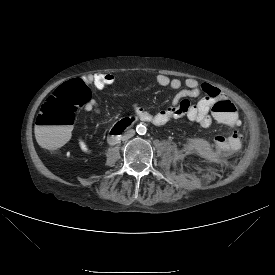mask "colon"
Wrapping results in <instances>:
<instances>
[{
	"label": "colon",
	"instance_id": "obj_1",
	"mask_svg": "<svg viewBox=\"0 0 275 275\" xmlns=\"http://www.w3.org/2000/svg\"><path fill=\"white\" fill-rule=\"evenodd\" d=\"M89 99V88L80 79L56 88L41 106L36 119V135L40 145L46 149H54L64 143L71 133L76 111L86 106ZM212 111L226 129H234L242 122V115L226 98L216 100Z\"/></svg>",
	"mask_w": 275,
	"mask_h": 275
}]
</instances>
